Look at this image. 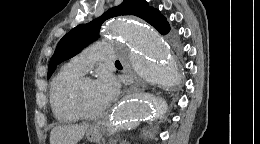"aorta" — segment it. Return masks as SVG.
<instances>
[{
	"label": "aorta",
	"instance_id": "1",
	"mask_svg": "<svg viewBox=\"0 0 260 144\" xmlns=\"http://www.w3.org/2000/svg\"><path fill=\"white\" fill-rule=\"evenodd\" d=\"M110 37L118 40L123 49L121 58L141 79L165 87L175 83L177 65L165 39L142 20L118 19L107 24ZM163 101L140 92L121 101L112 114L113 125L133 128L155 118Z\"/></svg>",
	"mask_w": 260,
	"mask_h": 144
}]
</instances>
